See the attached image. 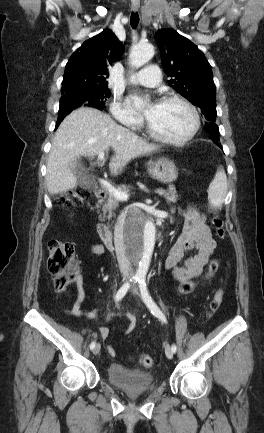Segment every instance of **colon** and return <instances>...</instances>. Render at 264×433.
I'll use <instances>...</instances> for the list:
<instances>
[{
  "mask_svg": "<svg viewBox=\"0 0 264 433\" xmlns=\"http://www.w3.org/2000/svg\"><path fill=\"white\" fill-rule=\"evenodd\" d=\"M89 197L90 192L87 189H77L63 198L62 205L65 208H72L79 203H83ZM210 212L212 214L211 224L215 230V234L218 238L223 239L225 237L223 220L214 209H210ZM48 253V270L54 277L55 290L58 293H63L78 272L75 247L70 242L53 240L49 243ZM219 266V260H211L203 277L205 279L212 277L217 272ZM198 284L199 281L194 280L182 282L179 284L178 291L181 295H187L193 292ZM222 300L223 290L218 289L210 302L207 318H210L219 309ZM140 362L145 367H152L154 365V359L150 355H141Z\"/></svg>",
  "mask_w": 264,
  "mask_h": 433,
  "instance_id": "obj_1",
  "label": "colon"
}]
</instances>
